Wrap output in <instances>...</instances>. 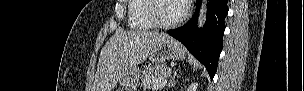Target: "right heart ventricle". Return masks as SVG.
<instances>
[{"instance_id":"right-heart-ventricle-1","label":"right heart ventricle","mask_w":304,"mask_h":91,"mask_svg":"<svg viewBox=\"0 0 304 91\" xmlns=\"http://www.w3.org/2000/svg\"><path fill=\"white\" fill-rule=\"evenodd\" d=\"M148 0H129L128 1V25L137 30H150L154 28L149 20L146 7Z\"/></svg>"}]
</instances>
